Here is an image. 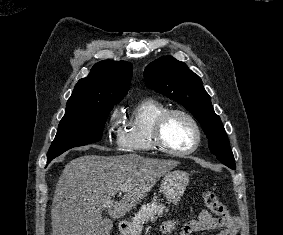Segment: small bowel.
I'll list each match as a JSON object with an SVG mask.
<instances>
[{"label":"small bowel","mask_w":283,"mask_h":235,"mask_svg":"<svg viewBox=\"0 0 283 235\" xmlns=\"http://www.w3.org/2000/svg\"><path fill=\"white\" fill-rule=\"evenodd\" d=\"M175 226L174 221L163 223L161 229L163 232L171 231ZM240 222L237 218L217 219L207 211H202L198 216L187 223L180 229V235H191L195 232L207 230H219L217 235H237Z\"/></svg>","instance_id":"1"}]
</instances>
